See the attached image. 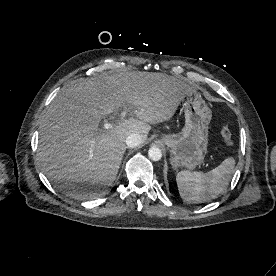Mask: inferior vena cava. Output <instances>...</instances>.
I'll use <instances>...</instances> for the list:
<instances>
[{"instance_id": "602c4592", "label": "inferior vena cava", "mask_w": 276, "mask_h": 276, "mask_svg": "<svg viewBox=\"0 0 276 276\" xmlns=\"http://www.w3.org/2000/svg\"><path fill=\"white\" fill-rule=\"evenodd\" d=\"M142 143L141 135L137 133H132L126 138V145L129 148H134Z\"/></svg>"}]
</instances>
